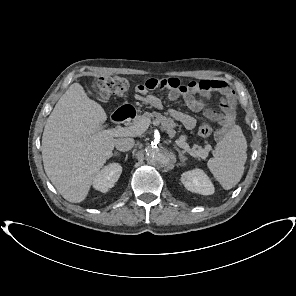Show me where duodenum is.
<instances>
[{
  "instance_id": "obj_1",
  "label": "duodenum",
  "mask_w": 296,
  "mask_h": 296,
  "mask_svg": "<svg viewBox=\"0 0 296 296\" xmlns=\"http://www.w3.org/2000/svg\"><path fill=\"white\" fill-rule=\"evenodd\" d=\"M135 115H136V111L134 108H132V107L123 108V109L116 111L112 115V121L117 124L123 123L125 121H129V120L133 119L135 117Z\"/></svg>"
}]
</instances>
